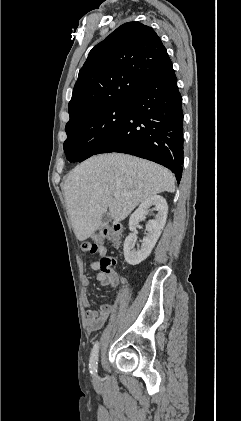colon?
<instances>
[{
  "mask_svg": "<svg viewBox=\"0 0 241 421\" xmlns=\"http://www.w3.org/2000/svg\"><path fill=\"white\" fill-rule=\"evenodd\" d=\"M121 238L122 232L119 225H107L95 235V242L83 243L82 250L89 254H95L97 252L98 246L104 241L108 240L114 244H119L121 242ZM114 265L115 260L112 257H103L100 261V270L106 277L113 279L115 277L112 270Z\"/></svg>",
  "mask_w": 241,
  "mask_h": 421,
  "instance_id": "colon-1",
  "label": "colon"
}]
</instances>
